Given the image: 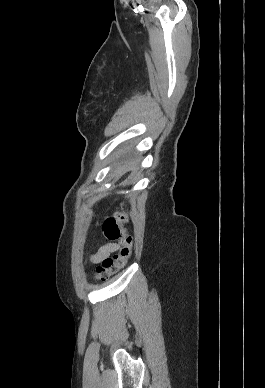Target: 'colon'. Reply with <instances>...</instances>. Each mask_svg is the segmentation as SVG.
<instances>
[{
  "instance_id": "5ec220e1",
  "label": "colon",
  "mask_w": 265,
  "mask_h": 388,
  "mask_svg": "<svg viewBox=\"0 0 265 388\" xmlns=\"http://www.w3.org/2000/svg\"><path fill=\"white\" fill-rule=\"evenodd\" d=\"M128 220L129 213L125 204L113 216L105 219L102 225L104 235L110 241L119 242L122 247L117 254L101 261L95 271L98 279L106 280L127 264L133 247V237L127 234L124 227Z\"/></svg>"
}]
</instances>
